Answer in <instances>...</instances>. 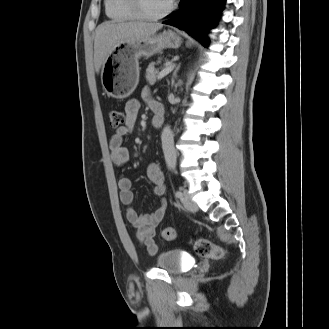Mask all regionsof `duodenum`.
Returning a JSON list of instances; mask_svg holds the SVG:
<instances>
[{
    "mask_svg": "<svg viewBox=\"0 0 329 329\" xmlns=\"http://www.w3.org/2000/svg\"><path fill=\"white\" fill-rule=\"evenodd\" d=\"M152 109L154 112L153 119H152V125L155 128H159V127H161V125L163 124V121H164V110L159 104H154L152 106Z\"/></svg>",
    "mask_w": 329,
    "mask_h": 329,
    "instance_id": "duodenum-1",
    "label": "duodenum"
}]
</instances>
